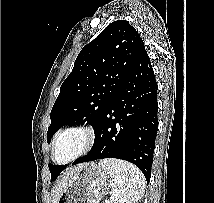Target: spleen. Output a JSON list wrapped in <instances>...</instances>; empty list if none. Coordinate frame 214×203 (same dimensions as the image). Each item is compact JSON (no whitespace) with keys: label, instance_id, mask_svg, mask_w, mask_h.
<instances>
[{"label":"spleen","instance_id":"obj_1","mask_svg":"<svg viewBox=\"0 0 214 203\" xmlns=\"http://www.w3.org/2000/svg\"><path fill=\"white\" fill-rule=\"evenodd\" d=\"M98 165L113 178L115 203H137L145 192V177L133 164L117 159H103Z\"/></svg>","mask_w":214,"mask_h":203}]
</instances>
